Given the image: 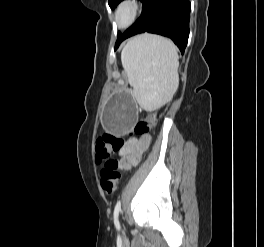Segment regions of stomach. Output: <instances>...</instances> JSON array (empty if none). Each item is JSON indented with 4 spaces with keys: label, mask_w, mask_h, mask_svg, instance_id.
Masks as SVG:
<instances>
[{
    "label": "stomach",
    "mask_w": 264,
    "mask_h": 247,
    "mask_svg": "<svg viewBox=\"0 0 264 247\" xmlns=\"http://www.w3.org/2000/svg\"><path fill=\"white\" fill-rule=\"evenodd\" d=\"M134 98V94H116L107 102L103 122L113 136H127L135 128L139 109Z\"/></svg>",
    "instance_id": "stomach-1"
}]
</instances>
